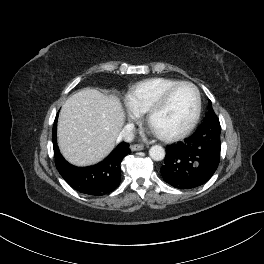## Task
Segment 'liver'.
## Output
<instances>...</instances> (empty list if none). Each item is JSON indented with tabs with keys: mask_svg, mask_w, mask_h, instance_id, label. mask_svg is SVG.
Wrapping results in <instances>:
<instances>
[{
	"mask_svg": "<svg viewBox=\"0 0 264 264\" xmlns=\"http://www.w3.org/2000/svg\"><path fill=\"white\" fill-rule=\"evenodd\" d=\"M120 100L96 89H83L63 104L58 118V145L67 161L76 166L99 162L115 147L124 124Z\"/></svg>",
	"mask_w": 264,
	"mask_h": 264,
	"instance_id": "1",
	"label": "liver"
}]
</instances>
